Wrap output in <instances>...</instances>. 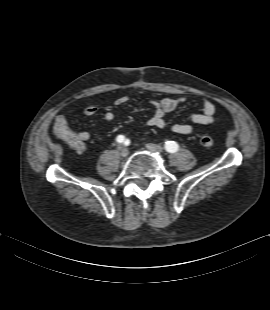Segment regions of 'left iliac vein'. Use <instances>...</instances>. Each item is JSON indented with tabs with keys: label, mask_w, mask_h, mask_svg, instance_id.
I'll return each instance as SVG.
<instances>
[{
	"label": "left iliac vein",
	"mask_w": 270,
	"mask_h": 310,
	"mask_svg": "<svg viewBox=\"0 0 270 310\" xmlns=\"http://www.w3.org/2000/svg\"><path fill=\"white\" fill-rule=\"evenodd\" d=\"M146 148L150 151L153 152H158V153H162L163 148L157 144H153V143H148L146 144Z\"/></svg>",
	"instance_id": "4c4485c4"
}]
</instances>
